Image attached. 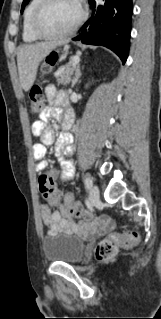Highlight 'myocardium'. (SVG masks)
Segmentation results:
<instances>
[{
  "mask_svg": "<svg viewBox=\"0 0 161 319\" xmlns=\"http://www.w3.org/2000/svg\"><path fill=\"white\" fill-rule=\"evenodd\" d=\"M50 2L51 0H40L39 4L37 5L31 20V30L33 34L36 37L43 38V39H57V38L65 37L72 34L81 24V22L83 21L86 15V10L84 6L82 5L81 1L76 0V4L78 7V15L75 18V20L71 23L70 26H68L66 29L57 33H46L40 28L39 19L43 10L46 8V6Z\"/></svg>",
  "mask_w": 161,
  "mask_h": 319,
  "instance_id": "myocardium-1",
  "label": "myocardium"
}]
</instances>
